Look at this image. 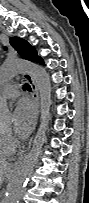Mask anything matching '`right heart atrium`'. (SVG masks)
I'll return each mask as SVG.
<instances>
[{
  "label": "right heart atrium",
  "mask_w": 89,
  "mask_h": 203,
  "mask_svg": "<svg viewBox=\"0 0 89 203\" xmlns=\"http://www.w3.org/2000/svg\"><path fill=\"white\" fill-rule=\"evenodd\" d=\"M7 139H8V142H9L12 146H15V145H16V141H15L11 136H9Z\"/></svg>",
  "instance_id": "obj_1"
}]
</instances>
